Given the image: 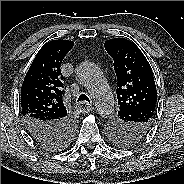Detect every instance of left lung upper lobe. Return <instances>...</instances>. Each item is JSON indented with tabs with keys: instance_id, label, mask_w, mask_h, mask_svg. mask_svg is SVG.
I'll list each match as a JSON object with an SVG mask.
<instances>
[{
	"instance_id": "left-lung-upper-lobe-1",
	"label": "left lung upper lobe",
	"mask_w": 184,
	"mask_h": 184,
	"mask_svg": "<svg viewBox=\"0 0 184 184\" xmlns=\"http://www.w3.org/2000/svg\"><path fill=\"white\" fill-rule=\"evenodd\" d=\"M104 46L114 60L119 105L108 132L116 144L127 147L148 132L157 102L156 85L147 59L132 41L114 38Z\"/></svg>"
}]
</instances>
